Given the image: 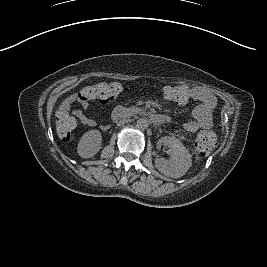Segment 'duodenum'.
Wrapping results in <instances>:
<instances>
[{
	"label": "duodenum",
	"instance_id": "1",
	"mask_svg": "<svg viewBox=\"0 0 267 267\" xmlns=\"http://www.w3.org/2000/svg\"><path fill=\"white\" fill-rule=\"evenodd\" d=\"M134 117H145L148 118L152 123L161 125L166 122L167 117L162 115L152 114L142 109H126L117 107L112 113V120L116 121L119 119H128Z\"/></svg>",
	"mask_w": 267,
	"mask_h": 267
}]
</instances>
